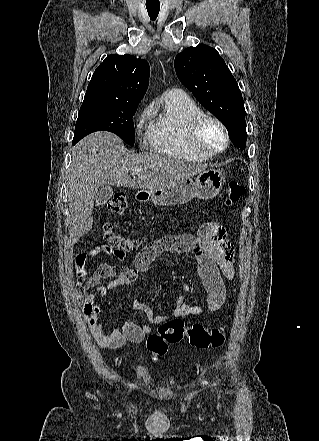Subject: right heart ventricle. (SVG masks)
<instances>
[{
  "instance_id": "e07e8e85",
  "label": "right heart ventricle",
  "mask_w": 319,
  "mask_h": 441,
  "mask_svg": "<svg viewBox=\"0 0 319 441\" xmlns=\"http://www.w3.org/2000/svg\"><path fill=\"white\" fill-rule=\"evenodd\" d=\"M203 110L188 96L166 97L165 111L152 123L150 150L158 155L190 162H204L210 156L195 151L189 144L191 122Z\"/></svg>"
}]
</instances>
